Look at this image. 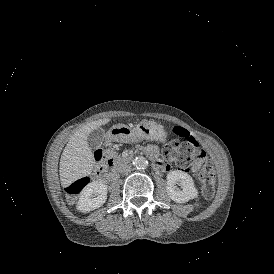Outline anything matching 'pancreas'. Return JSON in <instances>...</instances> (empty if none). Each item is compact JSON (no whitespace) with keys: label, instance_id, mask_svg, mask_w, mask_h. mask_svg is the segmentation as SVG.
I'll use <instances>...</instances> for the list:
<instances>
[{"label":"pancreas","instance_id":"1","mask_svg":"<svg viewBox=\"0 0 274 274\" xmlns=\"http://www.w3.org/2000/svg\"><path fill=\"white\" fill-rule=\"evenodd\" d=\"M112 155H114L116 162H118V163L121 162V158L119 156H117L114 152H112Z\"/></svg>","mask_w":274,"mask_h":274}]
</instances>
